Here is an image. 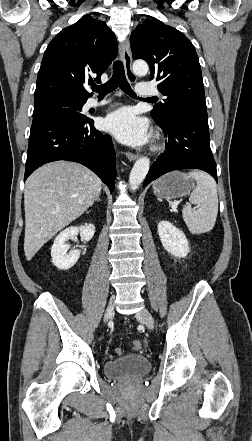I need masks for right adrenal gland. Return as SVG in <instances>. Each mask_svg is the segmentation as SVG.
I'll return each mask as SVG.
<instances>
[{
    "instance_id": "1",
    "label": "right adrenal gland",
    "mask_w": 252,
    "mask_h": 441,
    "mask_svg": "<svg viewBox=\"0 0 252 441\" xmlns=\"http://www.w3.org/2000/svg\"><path fill=\"white\" fill-rule=\"evenodd\" d=\"M95 201H100V198H99V196L95 199Z\"/></svg>"
}]
</instances>
